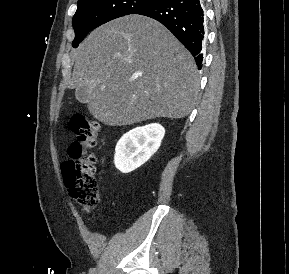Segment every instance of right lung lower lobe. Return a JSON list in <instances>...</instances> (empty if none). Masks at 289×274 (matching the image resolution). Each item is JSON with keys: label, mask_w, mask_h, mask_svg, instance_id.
Here are the masks:
<instances>
[{"label": "right lung lower lobe", "mask_w": 289, "mask_h": 274, "mask_svg": "<svg viewBox=\"0 0 289 274\" xmlns=\"http://www.w3.org/2000/svg\"><path fill=\"white\" fill-rule=\"evenodd\" d=\"M135 14L148 16L166 26L191 52L201 69L205 34L202 0H157Z\"/></svg>", "instance_id": "98d812e1"}]
</instances>
